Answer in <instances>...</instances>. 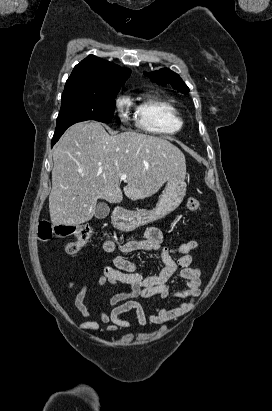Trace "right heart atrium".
<instances>
[{"label":"right heart atrium","mask_w":272,"mask_h":411,"mask_svg":"<svg viewBox=\"0 0 272 411\" xmlns=\"http://www.w3.org/2000/svg\"><path fill=\"white\" fill-rule=\"evenodd\" d=\"M125 105H126V102L123 98H117L116 99V101H115V111L118 114V117L121 121H124L127 118V115L123 110Z\"/></svg>","instance_id":"right-heart-atrium-1"}]
</instances>
